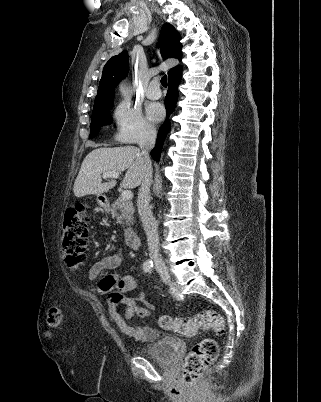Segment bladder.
Returning a JSON list of instances; mask_svg holds the SVG:
<instances>
[{
	"mask_svg": "<svg viewBox=\"0 0 321 402\" xmlns=\"http://www.w3.org/2000/svg\"><path fill=\"white\" fill-rule=\"evenodd\" d=\"M179 349V339L165 332H157L156 339L143 350V354L159 364L171 365L176 360Z\"/></svg>",
	"mask_w": 321,
	"mask_h": 402,
	"instance_id": "1",
	"label": "bladder"
}]
</instances>
